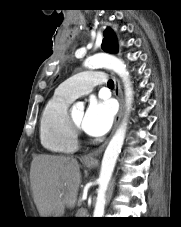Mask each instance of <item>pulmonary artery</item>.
<instances>
[{"mask_svg":"<svg viewBox=\"0 0 181 227\" xmlns=\"http://www.w3.org/2000/svg\"><path fill=\"white\" fill-rule=\"evenodd\" d=\"M106 77L103 72L88 71L79 73L61 83L56 92L74 100L89 94L96 85L105 84Z\"/></svg>","mask_w":181,"mask_h":227,"instance_id":"e3ab8cb5","label":"pulmonary artery"}]
</instances>
